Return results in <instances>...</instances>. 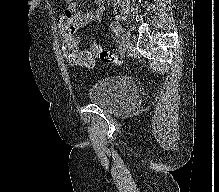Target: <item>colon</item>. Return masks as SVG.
Here are the masks:
<instances>
[{
  "label": "colon",
  "instance_id": "5ec220e1",
  "mask_svg": "<svg viewBox=\"0 0 219 192\" xmlns=\"http://www.w3.org/2000/svg\"><path fill=\"white\" fill-rule=\"evenodd\" d=\"M62 53L72 65L93 67L95 58L106 64L122 65L123 59L111 50L104 49L98 44H93L89 49H79L73 34H67L62 41Z\"/></svg>",
  "mask_w": 219,
  "mask_h": 192
}]
</instances>
